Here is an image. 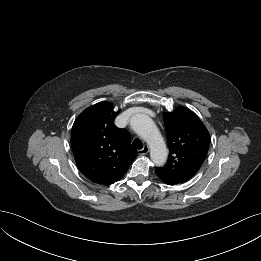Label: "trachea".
Segmentation results:
<instances>
[{"label": "trachea", "instance_id": "1", "mask_svg": "<svg viewBox=\"0 0 261 261\" xmlns=\"http://www.w3.org/2000/svg\"><path fill=\"white\" fill-rule=\"evenodd\" d=\"M132 146L135 149H142L143 148L142 142L139 139H137V138L133 141Z\"/></svg>", "mask_w": 261, "mask_h": 261}]
</instances>
